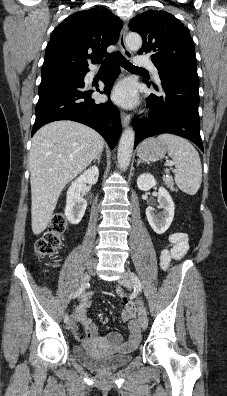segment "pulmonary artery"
Returning a JSON list of instances; mask_svg holds the SVG:
<instances>
[{"label":"pulmonary artery","instance_id":"1","mask_svg":"<svg viewBox=\"0 0 227 396\" xmlns=\"http://www.w3.org/2000/svg\"><path fill=\"white\" fill-rule=\"evenodd\" d=\"M134 64L139 67L149 68L152 71V73L154 74V76L157 79H159L157 68L154 66V64L148 58H145L142 56L136 57L134 60Z\"/></svg>","mask_w":227,"mask_h":396}]
</instances>
